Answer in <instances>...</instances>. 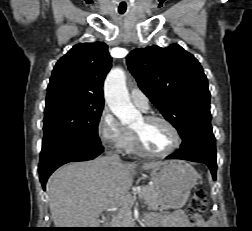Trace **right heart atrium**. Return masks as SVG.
<instances>
[{
	"mask_svg": "<svg viewBox=\"0 0 252 231\" xmlns=\"http://www.w3.org/2000/svg\"><path fill=\"white\" fill-rule=\"evenodd\" d=\"M97 132L101 141L117 151L125 148L130 132L116 119L109 108L105 107L97 122Z\"/></svg>",
	"mask_w": 252,
	"mask_h": 231,
	"instance_id": "d8ad5b80",
	"label": "right heart atrium"
}]
</instances>
